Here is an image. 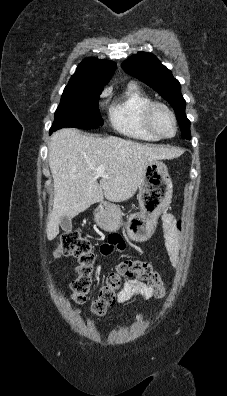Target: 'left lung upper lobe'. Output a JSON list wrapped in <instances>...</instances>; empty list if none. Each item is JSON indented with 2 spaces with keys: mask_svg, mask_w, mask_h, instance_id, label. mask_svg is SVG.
<instances>
[{
  "mask_svg": "<svg viewBox=\"0 0 227 396\" xmlns=\"http://www.w3.org/2000/svg\"><path fill=\"white\" fill-rule=\"evenodd\" d=\"M124 71L143 81L158 92L173 107L183 139L190 140V121L185 114L186 102L181 86L171 71L150 53L139 52L122 63Z\"/></svg>",
  "mask_w": 227,
  "mask_h": 396,
  "instance_id": "1",
  "label": "left lung upper lobe"
}]
</instances>
